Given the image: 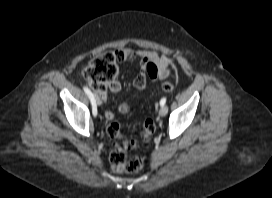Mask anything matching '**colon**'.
Returning a JSON list of instances; mask_svg holds the SVG:
<instances>
[{
    "mask_svg": "<svg viewBox=\"0 0 272 198\" xmlns=\"http://www.w3.org/2000/svg\"><path fill=\"white\" fill-rule=\"evenodd\" d=\"M122 60V56L117 52L107 51L96 56L84 71V76L88 84L99 93L110 91V86L115 81L117 74V62ZM158 73L154 63L148 62L143 68V73L139 75L135 84L141 88L146 83V78H154ZM163 90L171 92L173 84L165 82ZM155 123L152 119L145 121L139 135V139L121 138L120 125L118 122H111L107 128L108 135L113 139L112 150L109 161L111 168L117 173L133 174L143 168L144 158L138 154H128L129 150H135L140 142L151 140L155 132Z\"/></svg>",
    "mask_w": 272,
    "mask_h": 198,
    "instance_id": "obj_1",
    "label": "colon"
}]
</instances>
